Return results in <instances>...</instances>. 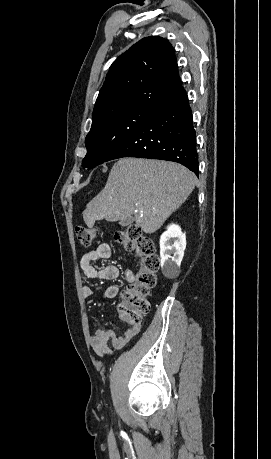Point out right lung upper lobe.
Returning <instances> with one entry per match:
<instances>
[{
	"label": "right lung upper lobe",
	"instance_id": "cb5924a9",
	"mask_svg": "<svg viewBox=\"0 0 271 459\" xmlns=\"http://www.w3.org/2000/svg\"><path fill=\"white\" fill-rule=\"evenodd\" d=\"M183 90L171 44L158 36L146 37L111 65L93 119L134 107L156 112Z\"/></svg>",
	"mask_w": 271,
	"mask_h": 459
}]
</instances>
